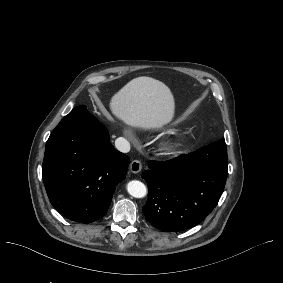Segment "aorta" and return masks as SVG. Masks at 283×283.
Masks as SVG:
<instances>
[{"mask_svg":"<svg viewBox=\"0 0 283 283\" xmlns=\"http://www.w3.org/2000/svg\"><path fill=\"white\" fill-rule=\"evenodd\" d=\"M127 191L135 198H143L147 194L146 186L137 180H132L127 184Z\"/></svg>","mask_w":283,"mask_h":283,"instance_id":"1","label":"aorta"}]
</instances>
